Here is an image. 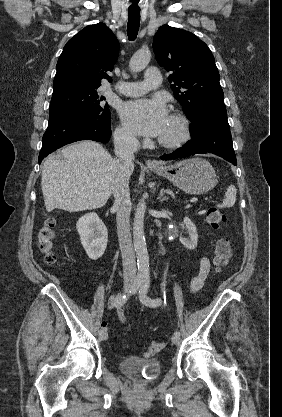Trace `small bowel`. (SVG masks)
Instances as JSON below:
<instances>
[{
    "label": "small bowel",
    "instance_id": "obj_1",
    "mask_svg": "<svg viewBox=\"0 0 282 417\" xmlns=\"http://www.w3.org/2000/svg\"><path fill=\"white\" fill-rule=\"evenodd\" d=\"M210 269L211 265L209 258L202 256L199 260V271L197 275L194 276L190 281L189 289L191 293H196L203 288L205 281L210 273ZM116 312L120 323L125 324L126 317L124 314V309L122 307H118ZM103 327H107L106 322H103Z\"/></svg>",
    "mask_w": 282,
    "mask_h": 417
}]
</instances>
